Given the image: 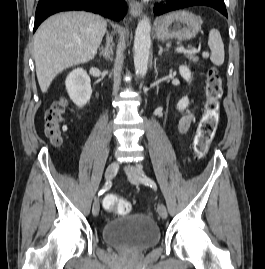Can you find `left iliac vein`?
I'll return each mask as SVG.
<instances>
[{"label":"left iliac vein","instance_id":"left-iliac-vein-1","mask_svg":"<svg viewBox=\"0 0 265 269\" xmlns=\"http://www.w3.org/2000/svg\"><path fill=\"white\" fill-rule=\"evenodd\" d=\"M125 171L132 184H140V178L144 175V172L140 167L129 165L125 168ZM158 213L162 219L167 218L168 213L164 204H159Z\"/></svg>","mask_w":265,"mask_h":269}]
</instances>
